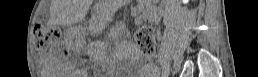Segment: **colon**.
I'll return each instance as SVG.
<instances>
[{
	"label": "colon",
	"instance_id": "5ec220e1",
	"mask_svg": "<svg viewBox=\"0 0 258 77\" xmlns=\"http://www.w3.org/2000/svg\"><path fill=\"white\" fill-rule=\"evenodd\" d=\"M59 35L45 24L35 26V45L38 50H44ZM138 49L143 56L149 57L155 51L156 37L152 28L146 26L141 28L135 35Z\"/></svg>",
	"mask_w": 258,
	"mask_h": 77
}]
</instances>
